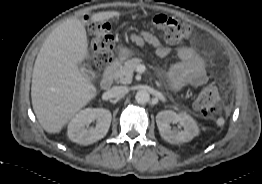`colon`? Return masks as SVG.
Instances as JSON below:
<instances>
[{"mask_svg": "<svg viewBox=\"0 0 262 184\" xmlns=\"http://www.w3.org/2000/svg\"><path fill=\"white\" fill-rule=\"evenodd\" d=\"M154 28L159 31L168 43H179L188 39L192 33L189 23L165 15L157 14L151 18ZM89 33L94 52V64L98 73H103L112 62L114 38L110 26L106 23H91ZM218 92L215 86L206 85L195 99V108L205 116L215 112Z\"/></svg>", "mask_w": 262, "mask_h": 184, "instance_id": "colon-1", "label": "colon"}]
</instances>
